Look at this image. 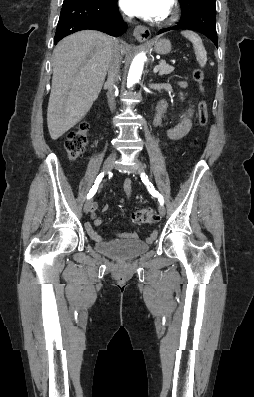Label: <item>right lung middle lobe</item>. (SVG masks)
Returning <instances> with one entry per match:
<instances>
[{
  "label": "right lung middle lobe",
  "instance_id": "1",
  "mask_svg": "<svg viewBox=\"0 0 254 397\" xmlns=\"http://www.w3.org/2000/svg\"><path fill=\"white\" fill-rule=\"evenodd\" d=\"M92 1H96V2H113L115 0H92Z\"/></svg>",
  "mask_w": 254,
  "mask_h": 397
}]
</instances>
